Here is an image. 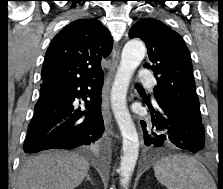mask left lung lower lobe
Returning <instances> with one entry per match:
<instances>
[{
	"mask_svg": "<svg viewBox=\"0 0 223 189\" xmlns=\"http://www.w3.org/2000/svg\"><path fill=\"white\" fill-rule=\"evenodd\" d=\"M150 110L151 125L141 122L144 144L153 149L166 144L197 153L205 146V130L202 122L187 118L155 103L154 106L144 99Z\"/></svg>",
	"mask_w": 223,
	"mask_h": 189,
	"instance_id": "left-lung-lower-lobe-1",
	"label": "left lung lower lobe"
}]
</instances>
